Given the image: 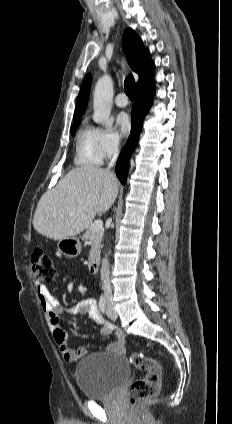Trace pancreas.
Here are the masks:
<instances>
[{
  "label": "pancreas",
  "mask_w": 232,
  "mask_h": 424,
  "mask_svg": "<svg viewBox=\"0 0 232 424\" xmlns=\"http://www.w3.org/2000/svg\"><path fill=\"white\" fill-rule=\"evenodd\" d=\"M104 234V230H93L92 224L89 225L86 232L83 235V239L90 241L91 250L89 252V261H93L95 256L99 253L101 247V241Z\"/></svg>",
  "instance_id": "obj_1"
}]
</instances>
